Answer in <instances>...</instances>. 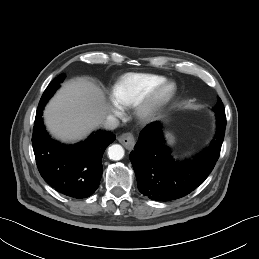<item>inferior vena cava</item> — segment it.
I'll use <instances>...</instances> for the list:
<instances>
[{
    "mask_svg": "<svg viewBox=\"0 0 259 259\" xmlns=\"http://www.w3.org/2000/svg\"><path fill=\"white\" fill-rule=\"evenodd\" d=\"M105 128L107 129H115L119 126V120L115 118L112 115L107 116L105 123H104Z\"/></svg>",
    "mask_w": 259,
    "mask_h": 259,
    "instance_id": "1",
    "label": "inferior vena cava"
}]
</instances>
